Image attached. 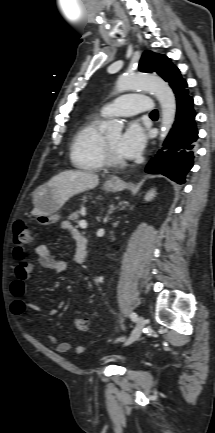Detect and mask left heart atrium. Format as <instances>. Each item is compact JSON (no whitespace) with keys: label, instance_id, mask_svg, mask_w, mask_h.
<instances>
[{"label":"left heart atrium","instance_id":"left-heart-atrium-1","mask_svg":"<svg viewBox=\"0 0 215 433\" xmlns=\"http://www.w3.org/2000/svg\"><path fill=\"white\" fill-rule=\"evenodd\" d=\"M145 141L146 135L142 126L131 122L120 136L117 151L123 158H134L142 151Z\"/></svg>","mask_w":215,"mask_h":433}]
</instances>
